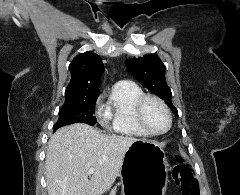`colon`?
<instances>
[{
    "mask_svg": "<svg viewBox=\"0 0 240 195\" xmlns=\"http://www.w3.org/2000/svg\"><path fill=\"white\" fill-rule=\"evenodd\" d=\"M175 177L183 191V195H199L198 180L192 175L189 169L179 167L175 171Z\"/></svg>",
    "mask_w": 240,
    "mask_h": 195,
    "instance_id": "colon-1",
    "label": "colon"
}]
</instances>
